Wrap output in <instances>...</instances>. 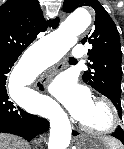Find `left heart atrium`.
I'll return each instance as SVG.
<instances>
[{
	"label": "left heart atrium",
	"mask_w": 124,
	"mask_h": 149,
	"mask_svg": "<svg viewBox=\"0 0 124 149\" xmlns=\"http://www.w3.org/2000/svg\"><path fill=\"white\" fill-rule=\"evenodd\" d=\"M49 90L71 116L79 121L86 116L94 102L90 91L68 74L57 76L50 83Z\"/></svg>",
	"instance_id": "1"
}]
</instances>
